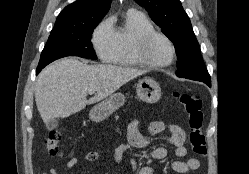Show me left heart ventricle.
<instances>
[{"label":"left heart ventricle","instance_id":"obj_1","mask_svg":"<svg viewBox=\"0 0 249 174\" xmlns=\"http://www.w3.org/2000/svg\"><path fill=\"white\" fill-rule=\"evenodd\" d=\"M149 55L156 61L166 62L171 58V47L164 39L157 38L149 47Z\"/></svg>","mask_w":249,"mask_h":174}]
</instances>
